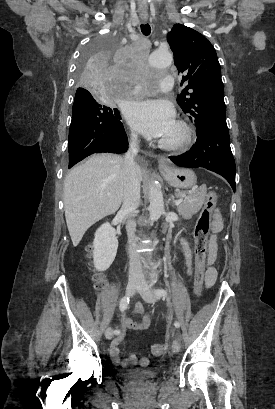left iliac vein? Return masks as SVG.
I'll return each mask as SVG.
<instances>
[{"label":"left iliac vein","mask_w":275,"mask_h":409,"mask_svg":"<svg viewBox=\"0 0 275 409\" xmlns=\"http://www.w3.org/2000/svg\"><path fill=\"white\" fill-rule=\"evenodd\" d=\"M137 292L147 303H154L157 300V296L152 292V289L145 282H142L137 289ZM172 350L174 353L180 351V344L177 338H174L172 341Z\"/></svg>","instance_id":"4c4485c4"}]
</instances>
